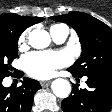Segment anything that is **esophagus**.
<instances>
[{
    "label": "esophagus",
    "mask_w": 112,
    "mask_h": 112,
    "mask_svg": "<svg viewBox=\"0 0 112 112\" xmlns=\"http://www.w3.org/2000/svg\"><path fill=\"white\" fill-rule=\"evenodd\" d=\"M50 83H51V81H41L40 82V84H41L42 87H47V86L50 85Z\"/></svg>",
    "instance_id": "esophagus-1"
}]
</instances>
